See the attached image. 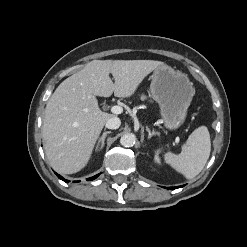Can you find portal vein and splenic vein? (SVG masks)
I'll use <instances>...</instances> for the list:
<instances>
[{"label":"portal vein and splenic vein","instance_id":"1","mask_svg":"<svg viewBox=\"0 0 247 247\" xmlns=\"http://www.w3.org/2000/svg\"><path fill=\"white\" fill-rule=\"evenodd\" d=\"M111 112L114 114H121L123 112V108L116 105L111 108Z\"/></svg>","mask_w":247,"mask_h":247}]
</instances>
